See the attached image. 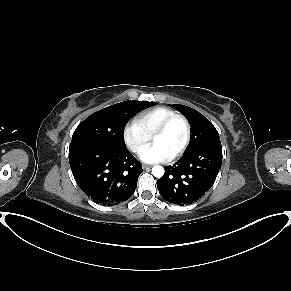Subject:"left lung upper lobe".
<instances>
[{
    "instance_id": "5c2ea615",
    "label": "left lung upper lobe",
    "mask_w": 291,
    "mask_h": 291,
    "mask_svg": "<svg viewBox=\"0 0 291 291\" xmlns=\"http://www.w3.org/2000/svg\"><path fill=\"white\" fill-rule=\"evenodd\" d=\"M172 107L181 112L188 119L191 125V144L189 145L186 153L207 143L220 141V137L216 128L201 113L184 105L173 104Z\"/></svg>"
}]
</instances>
